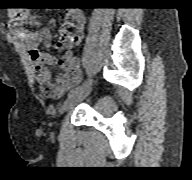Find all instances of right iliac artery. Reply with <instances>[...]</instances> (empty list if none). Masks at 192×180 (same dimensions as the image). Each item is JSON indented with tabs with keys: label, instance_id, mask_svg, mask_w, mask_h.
Instances as JSON below:
<instances>
[{
	"label": "right iliac artery",
	"instance_id": "1",
	"mask_svg": "<svg viewBox=\"0 0 192 180\" xmlns=\"http://www.w3.org/2000/svg\"><path fill=\"white\" fill-rule=\"evenodd\" d=\"M90 84H91V81H85L82 85H79L76 88L72 89L69 92L68 97L73 96V95L79 93L80 91H82L83 89L88 87Z\"/></svg>",
	"mask_w": 192,
	"mask_h": 180
}]
</instances>
